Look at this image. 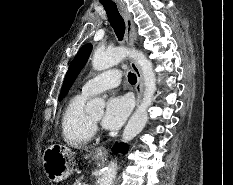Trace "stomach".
<instances>
[{"label":"stomach","mask_w":233,"mask_h":185,"mask_svg":"<svg viewBox=\"0 0 233 185\" xmlns=\"http://www.w3.org/2000/svg\"><path fill=\"white\" fill-rule=\"evenodd\" d=\"M96 160H103L104 156L94 154ZM43 169L47 178L53 182H61L73 173L74 155L67 147L51 145L44 151Z\"/></svg>","instance_id":"1"}]
</instances>
